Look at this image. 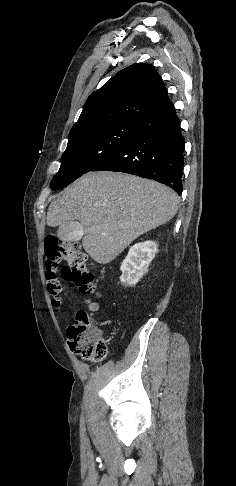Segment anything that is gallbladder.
<instances>
[{"instance_id":"1","label":"gallbladder","mask_w":236,"mask_h":486,"mask_svg":"<svg viewBox=\"0 0 236 486\" xmlns=\"http://www.w3.org/2000/svg\"><path fill=\"white\" fill-rule=\"evenodd\" d=\"M82 226L77 221H70L59 226L57 236L65 242H73L81 239Z\"/></svg>"}]
</instances>
